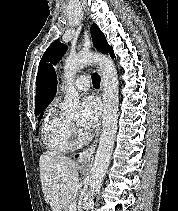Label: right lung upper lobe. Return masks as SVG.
<instances>
[{
  "label": "right lung upper lobe",
  "instance_id": "1",
  "mask_svg": "<svg viewBox=\"0 0 178 211\" xmlns=\"http://www.w3.org/2000/svg\"><path fill=\"white\" fill-rule=\"evenodd\" d=\"M36 84L35 112H39L49 105L56 93V73L52 66H44L37 75Z\"/></svg>",
  "mask_w": 178,
  "mask_h": 211
}]
</instances>
